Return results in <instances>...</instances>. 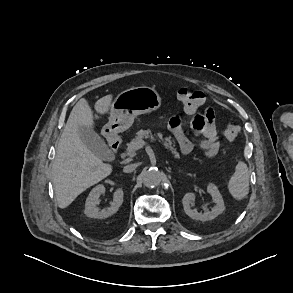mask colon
<instances>
[{"label":"colon","instance_id":"5ec220e1","mask_svg":"<svg viewBox=\"0 0 293 293\" xmlns=\"http://www.w3.org/2000/svg\"><path fill=\"white\" fill-rule=\"evenodd\" d=\"M177 99L184 107L185 111L194 115L199 114L200 108L204 104V95L201 92L193 91L187 88H181L177 91ZM240 133V127L237 124H229L223 132L224 138L228 141L235 140Z\"/></svg>","mask_w":293,"mask_h":293}]
</instances>
